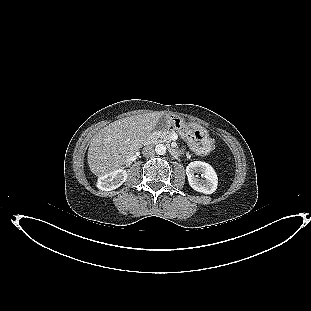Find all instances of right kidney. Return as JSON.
I'll use <instances>...</instances> for the list:
<instances>
[{
	"mask_svg": "<svg viewBox=\"0 0 311 311\" xmlns=\"http://www.w3.org/2000/svg\"><path fill=\"white\" fill-rule=\"evenodd\" d=\"M126 179L127 172L123 169H117L99 177L97 187L103 191H111L120 187Z\"/></svg>",
	"mask_w": 311,
	"mask_h": 311,
	"instance_id": "right-kidney-1",
	"label": "right kidney"
}]
</instances>
